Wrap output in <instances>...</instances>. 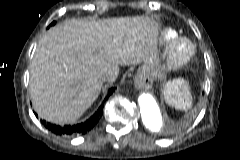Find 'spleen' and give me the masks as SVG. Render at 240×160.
<instances>
[{
  "label": "spleen",
  "instance_id": "spleen-1",
  "mask_svg": "<svg viewBox=\"0 0 240 160\" xmlns=\"http://www.w3.org/2000/svg\"><path fill=\"white\" fill-rule=\"evenodd\" d=\"M165 98L176 109L186 110L192 106L189 84L184 79H176L166 84Z\"/></svg>",
  "mask_w": 240,
  "mask_h": 160
}]
</instances>
